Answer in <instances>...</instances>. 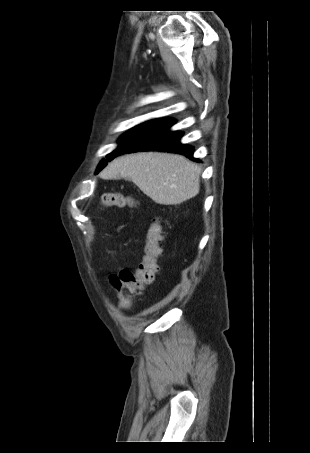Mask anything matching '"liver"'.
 <instances>
[{"instance_id": "obj_1", "label": "liver", "mask_w": 310, "mask_h": 453, "mask_svg": "<svg viewBox=\"0 0 310 453\" xmlns=\"http://www.w3.org/2000/svg\"><path fill=\"white\" fill-rule=\"evenodd\" d=\"M118 175L130 179L154 202L177 205L195 197L200 190L201 168L177 154L140 152L121 156L101 173L105 180Z\"/></svg>"}]
</instances>
